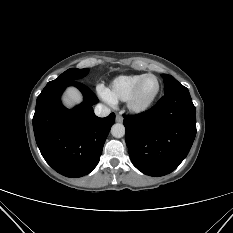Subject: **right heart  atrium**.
<instances>
[{
    "label": "right heart atrium",
    "mask_w": 233,
    "mask_h": 233,
    "mask_svg": "<svg viewBox=\"0 0 233 233\" xmlns=\"http://www.w3.org/2000/svg\"><path fill=\"white\" fill-rule=\"evenodd\" d=\"M97 93L100 96V98H102L104 101L112 103L113 100L109 95L108 89H106L104 86L99 85L97 87Z\"/></svg>",
    "instance_id": "right-heart-atrium-1"
}]
</instances>
